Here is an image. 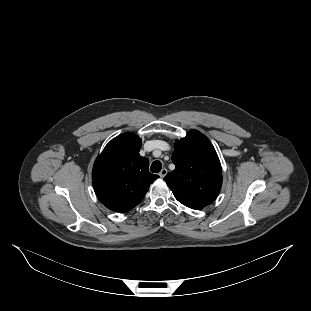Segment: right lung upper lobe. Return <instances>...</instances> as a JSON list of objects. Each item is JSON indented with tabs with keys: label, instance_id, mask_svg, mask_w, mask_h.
<instances>
[{
	"label": "right lung upper lobe",
	"instance_id": "right-lung-upper-lobe-1",
	"mask_svg": "<svg viewBox=\"0 0 311 311\" xmlns=\"http://www.w3.org/2000/svg\"><path fill=\"white\" fill-rule=\"evenodd\" d=\"M141 139L129 132L111 140L95 161V193L108 209L125 213L138 205L149 186L159 178L149 172V161L140 156Z\"/></svg>",
	"mask_w": 311,
	"mask_h": 311
}]
</instances>
